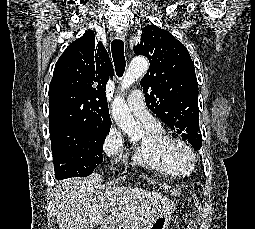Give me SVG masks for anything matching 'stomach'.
<instances>
[{
	"mask_svg": "<svg viewBox=\"0 0 255 229\" xmlns=\"http://www.w3.org/2000/svg\"><path fill=\"white\" fill-rule=\"evenodd\" d=\"M172 219V210L158 214L143 229H169ZM102 229H126L120 225L105 224Z\"/></svg>",
	"mask_w": 255,
	"mask_h": 229,
	"instance_id": "0dacf381",
	"label": "stomach"
}]
</instances>
